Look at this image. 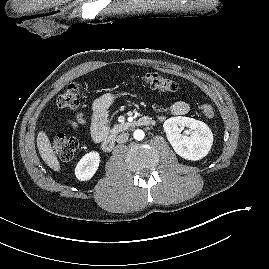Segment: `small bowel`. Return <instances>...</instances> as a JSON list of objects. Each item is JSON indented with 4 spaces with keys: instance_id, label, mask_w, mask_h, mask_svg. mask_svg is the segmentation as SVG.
<instances>
[{
    "instance_id": "small-bowel-1",
    "label": "small bowel",
    "mask_w": 269,
    "mask_h": 269,
    "mask_svg": "<svg viewBox=\"0 0 269 269\" xmlns=\"http://www.w3.org/2000/svg\"><path fill=\"white\" fill-rule=\"evenodd\" d=\"M114 101L111 94H103L98 97L92 106L91 134L95 141L100 142L108 132V109ZM189 111V104L185 101H176L172 104L170 112L173 116H183ZM161 119L164 117L161 116ZM72 127L78 128L86 124L83 112H79L75 119L70 120Z\"/></svg>"
}]
</instances>
